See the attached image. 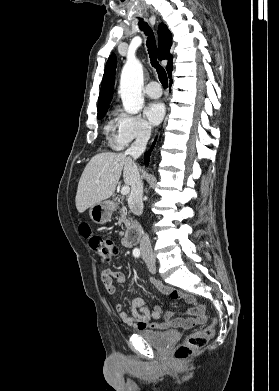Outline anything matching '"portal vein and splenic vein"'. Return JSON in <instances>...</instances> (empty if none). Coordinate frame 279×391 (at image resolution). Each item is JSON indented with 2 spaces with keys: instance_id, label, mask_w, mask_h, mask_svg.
Masks as SVG:
<instances>
[{
  "instance_id": "obj_1",
  "label": "portal vein and splenic vein",
  "mask_w": 279,
  "mask_h": 391,
  "mask_svg": "<svg viewBox=\"0 0 279 391\" xmlns=\"http://www.w3.org/2000/svg\"><path fill=\"white\" fill-rule=\"evenodd\" d=\"M97 182H98V181H97ZM129 191H130L129 186H123V187L121 188V194H122V195H127V194L129 193Z\"/></svg>"
}]
</instances>
